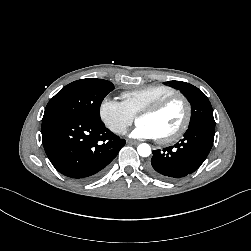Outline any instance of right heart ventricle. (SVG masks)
Wrapping results in <instances>:
<instances>
[{"label": "right heart ventricle", "mask_w": 251, "mask_h": 251, "mask_svg": "<svg viewBox=\"0 0 251 251\" xmlns=\"http://www.w3.org/2000/svg\"><path fill=\"white\" fill-rule=\"evenodd\" d=\"M174 93H177V91L170 86L163 84L150 85L124 92L122 93V99L126 108L136 116L145 108Z\"/></svg>", "instance_id": "1"}]
</instances>
